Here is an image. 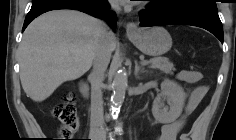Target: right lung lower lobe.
<instances>
[{
	"label": "right lung lower lobe",
	"mask_w": 236,
	"mask_h": 140,
	"mask_svg": "<svg viewBox=\"0 0 236 140\" xmlns=\"http://www.w3.org/2000/svg\"><path fill=\"white\" fill-rule=\"evenodd\" d=\"M109 8L106 0H102L101 4H94L90 0H36L33 1L31 10L25 18L23 31L40 14L57 9L79 10L94 17L104 18L115 27L116 17L108 11Z\"/></svg>",
	"instance_id": "right-lung-lower-lobe-1"
}]
</instances>
